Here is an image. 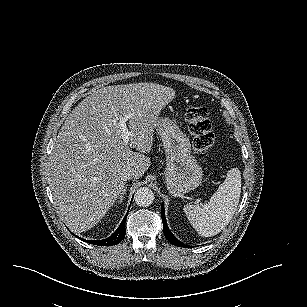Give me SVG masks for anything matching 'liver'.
Listing matches in <instances>:
<instances>
[{
  "mask_svg": "<svg viewBox=\"0 0 307 307\" xmlns=\"http://www.w3.org/2000/svg\"><path fill=\"white\" fill-rule=\"evenodd\" d=\"M172 88L150 82L94 90L69 114L50 156L48 183L58 216L73 233L92 228L124 188L123 177L141 178L151 165L149 152L158 114L173 98ZM128 116L130 145L113 123Z\"/></svg>",
  "mask_w": 307,
  "mask_h": 307,
  "instance_id": "liver-1",
  "label": "liver"
}]
</instances>
